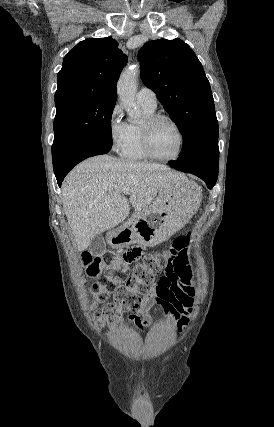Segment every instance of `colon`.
Listing matches in <instances>:
<instances>
[{"instance_id": "1", "label": "colon", "mask_w": 274, "mask_h": 427, "mask_svg": "<svg viewBox=\"0 0 274 427\" xmlns=\"http://www.w3.org/2000/svg\"><path fill=\"white\" fill-rule=\"evenodd\" d=\"M146 253V246L138 244L126 252L109 251L101 256L93 258L83 256L81 258L84 266L91 261L95 265L103 263L104 276L94 285V290L98 295L97 300L103 303L107 295H115L114 302L104 304L103 310L94 315L97 321L101 322L105 318L115 317L120 308L128 311L135 310L138 305V297L146 292L147 286L154 276L165 272L166 259L170 253H173V250L166 248L159 253ZM143 256V262L136 266L130 276L125 279L127 263H134Z\"/></svg>"}]
</instances>
